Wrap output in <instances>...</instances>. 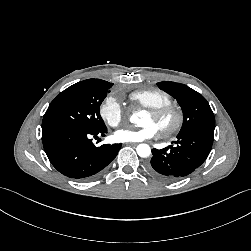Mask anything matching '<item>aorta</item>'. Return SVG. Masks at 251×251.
<instances>
[{
  "label": "aorta",
  "mask_w": 251,
  "mask_h": 251,
  "mask_svg": "<svg viewBox=\"0 0 251 251\" xmlns=\"http://www.w3.org/2000/svg\"><path fill=\"white\" fill-rule=\"evenodd\" d=\"M131 122H136V115H132L130 118ZM137 154L140 157H148L151 154V148L147 144H139L136 148Z\"/></svg>",
  "instance_id": "obj_1"
}]
</instances>
